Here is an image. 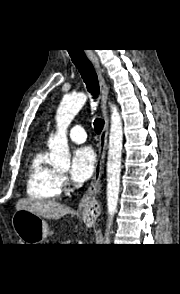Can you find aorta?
Returning a JSON list of instances; mask_svg holds the SVG:
<instances>
[{"label":"aorta","mask_w":180,"mask_h":294,"mask_svg":"<svg viewBox=\"0 0 180 294\" xmlns=\"http://www.w3.org/2000/svg\"><path fill=\"white\" fill-rule=\"evenodd\" d=\"M87 101L84 93L67 95L63 98L56 114V134L49 139L50 161L53 166L67 169L70 166L71 154L68 147L67 129ZM111 127L107 157V210L110 228L113 216L117 210L121 176V158L123 146V127L121 116L115 105L111 104ZM109 233H106V243H109Z\"/></svg>","instance_id":"1"}]
</instances>
